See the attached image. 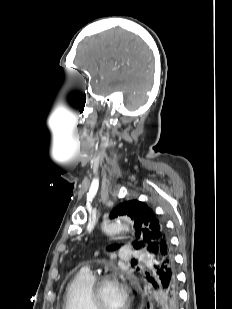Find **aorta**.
Listing matches in <instances>:
<instances>
[{"mask_svg": "<svg viewBox=\"0 0 232 309\" xmlns=\"http://www.w3.org/2000/svg\"><path fill=\"white\" fill-rule=\"evenodd\" d=\"M130 226L127 221L115 220L104 224V231L107 234H119L124 231H129Z\"/></svg>", "mask_w": 232, "mask_h": 309, "instance_id": "obj_1", "label": "aorta"}]
</instances>
